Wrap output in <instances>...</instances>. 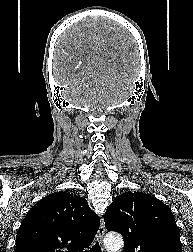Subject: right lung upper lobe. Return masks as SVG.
I'll return each mask as SVG.
<instances>
[{"instance_id": "1", "label": "right lung upper lobe", "mask_w": 193, "mask_h": 252, "mask_svg": "<svg viewBox=\"0 0 193 252\" xmlns=\"http://www.w3.org/2000/svg\"><path fill=\"white\" fill-rule=\"evenodd\" d=\"M99 225V216L85 198L55 192L28 211L17 232L15 252H81Z\"/></svg>"}]
</instances>
